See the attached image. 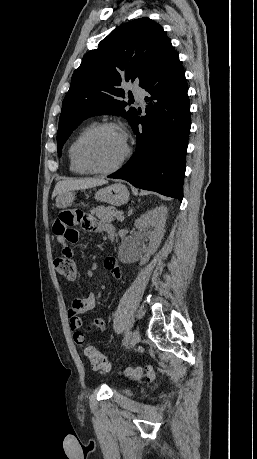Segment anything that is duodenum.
Here are the masks:
<instances>
[{"mask_svg": "<svg viewBox=\"0 0 257 459\" xmlns=\"http://www.w3.org/2000/svg\"><path fill=\"white\" fill-rule=\"evenodd\" d=\"M108 234H109V236H110L111 238H114V236H115V232H113V231H109Z\"/></svg>", "mask_w": 257, "mask_h": 459, "instance_id": "obj_1", "label": "duodenum"}]
</instances>
